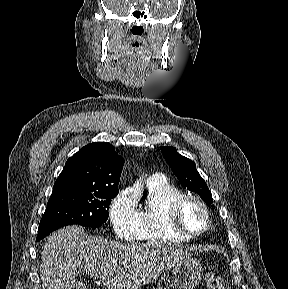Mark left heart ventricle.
Masks as SVG:
<instances>
[{
    "label": "left heart ventricle",
    "instance_id": "b2bd125f",
    "mask_svg": "<svg viewBox=\"0 0 288 289\" xmlns=\"http://www.w3.org/2000/svg\"><path fill=\"white\" fill-rule=\"evenodd\" d=\"M179 218L181 225L191 233L200 232L206 225L203 210L194 202H188L181 208Z\"/></svg>",
    "mask_w": 288,
    "mask_h": 289
}]
</instances>
